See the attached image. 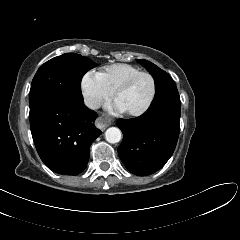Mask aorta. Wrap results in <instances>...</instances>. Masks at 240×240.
<instances>
[{"instance_id":"obj_1","label":"aorta","mask_w":240,"mask_h":240,"mask_svg":"<svg viewBox=\"0 0 240 240\" xmlns=\"http://www.w3.org/2000/svg\"><path fill=\"white\" fill-rule=\"evenodd\" d=\"M122 133L119 128L110 127L105 132V138L109 143H118L121 140Z\"/></svg>"}]
</instances>
